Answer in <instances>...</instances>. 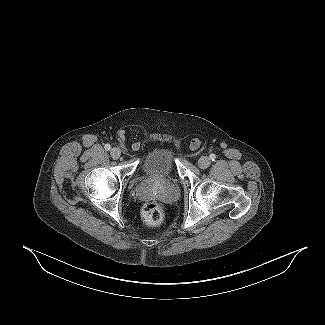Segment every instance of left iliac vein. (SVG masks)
<instances>
[{"mask_svg":"<svg viewBox=\"0 0 325 325\" xmlns=\"http://www.w3.org/2000/svg\"><path fill=\"white\" fill-rule=\"evenodd\" d=\"M210 165V159L206 156H202L199 160H198V166L201 169H206L208 168Z\"/></svg>","mask_w":325,"mask_h":325,"instance_id":"obj_1","label":"left iliac vein"}]
</instances>
